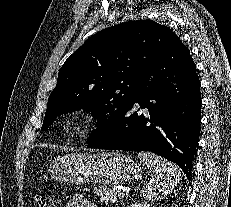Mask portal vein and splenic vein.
Returning <instances> with one entry per match:
<instances>
[{"label": "portal vein and splenic vein", "mask_w": 231, "mask_h": 207, "mask_svg": "<svg viewBox=\"0 0 231 207\" xmlns=\"http://www.w3.org/2000/svg\"><path fill=\"white\" fill-rule=\"evenodd\" d=\"M124 195H125V194H124V192H123V191L118 192V197H119V198L124 197Z\"/></svg>", "instance_id": "obj_1"}]
</instances>
